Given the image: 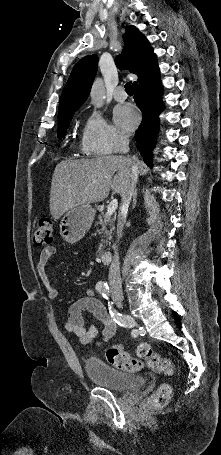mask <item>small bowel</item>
I'll use <instances>...</instances> for the list:
<instances>
[{"label": "small bowel", "mask_w": 221, "mask_h": 455, "mask_svg": "<svg viewBox=\"0 0 221 455\" xmlns=\"http://www.w3.org/2000/svg\"><path fill=\"white\" fill-rule=\"evenodd\" d=\"M55 253L56 248L54 246L45 247L41 250L35 266L36 273L50 299H57L59 297V291L52 285L46 271ZM84 312L91 313L103 324L102 332L99 331V327L95 324L89 328H85ZM64 329L66 332L75 334L81 344L94 347L112 338L116 332L117 324L109 315L103 302L96 298L94 291L87 289L85 295L69 307Z\"/></svg>", "instance_id": "1"}]
</instances>
